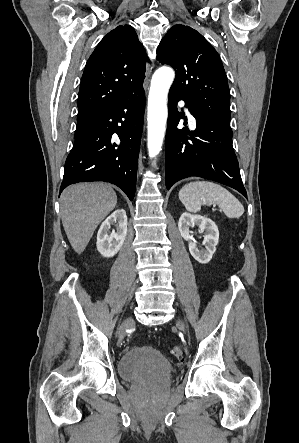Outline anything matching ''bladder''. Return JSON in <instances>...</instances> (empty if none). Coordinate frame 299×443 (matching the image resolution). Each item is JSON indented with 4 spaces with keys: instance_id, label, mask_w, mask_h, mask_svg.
I'll list each match as a JSON object with an SVG mask.
<instances>
[{
    "instance_id": "bladder-1",
    "label": "bladder",
    "mask_w": 299,
    "mask_h": 443,
    "mask_svg": "<svg viewBox=\"0 0 299 443\" xmlns=\"http://www.w3.org/2000/svg\"><path fill=\"white\" fill-rule=\"evenodd\" d=\"M118 373L128 381L161 383L171 378L172 367L157 349L151 346H136L119 359Z\"/></svg>"
}]
</instances>
